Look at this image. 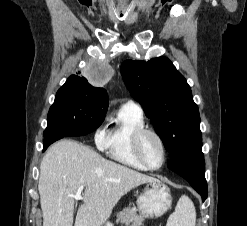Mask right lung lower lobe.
Masks as SVG:
<instances>
[{
  "instance_id": "98d812e1",
  "label": "right lung lower lobe",
  "mask_w": 247,
  "mask_h": 226,
  "mask_svg": "<svg viewBox=\"0 0 247 226\" xmlns=\"http://www.w3.org/2000/svg\"><path fill=\"white\" fill-rule=\"evenodd\" d=\"M56 140H58V138H48V137H45V140H44V149L45 150L51 143L55 142Z\"/></svg>"
}]
</instances>
